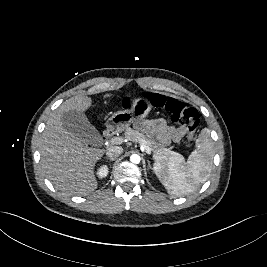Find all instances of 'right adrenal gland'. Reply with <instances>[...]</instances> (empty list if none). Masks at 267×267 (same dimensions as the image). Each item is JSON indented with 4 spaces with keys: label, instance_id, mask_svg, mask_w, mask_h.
Here are the masks:
<instances>
[{
    "label": "right adrenal gland",
    "instance_id": "2a0ac1e0",
    "mask_svg": "<svg viewBox=\"0 0 267 267\" xmlns=\"http://www.w3.org/2000/svg\"><path fill=\"white\" fill-rule=\"evenodd\" d=\"M106 159H109L111 162H113V161L115 160V159H113V158L110 159V158H108V157H106Z\"/></svg>",
    "mask_w": 267,
    "mask_h": 267
}]
</instances>
